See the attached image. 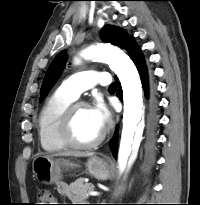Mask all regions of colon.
Returning a JSON list of instances; mask_svg holds the SVG:
<instances>
[{
    "instance_id": "colon-1",
    "label": "colon",
    "mask_w": 200,
    "mask_h": 205,
    "mask_svg": "<svg viewBox=\"0 0 200 205\" xmlns=\"http://www.w3.org/2000/svg\"><path fill=\"white\" fill-rule=\"evenodd\" d=\"M38 205H55V198L48 189H41L37 193Z\"/></svg>"
}]
</instances>
